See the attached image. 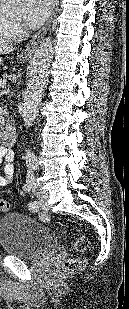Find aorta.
Instances as JSON below:
<instances>
[{"instance_id": "1", "label": "aorta", "mask_w": 129, "mask_h": 309, "mask_svg": "<svg viewBox=\"0 0 129 309\" xmlns=\"http://www.w3.org/2000/svg\"><path fill=\"white\" fill-rule=\"evenodd\" d=\"M21 5L22 0H6L4 12L8 15H17L21 10ZM53 51V40L51 37H46L40 42L34 53L27 89L21 107V116L27 129L32 126L39 113L53 58ZM26 157L34 159L35 155L30 149H27Z\"/></svg>"}]
</instances>
